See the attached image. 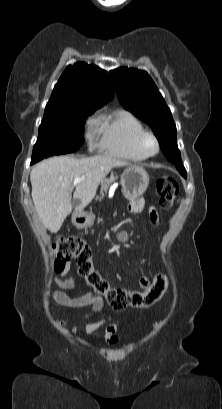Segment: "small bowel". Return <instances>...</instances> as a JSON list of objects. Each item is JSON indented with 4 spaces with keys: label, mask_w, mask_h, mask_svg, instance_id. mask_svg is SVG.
I'll return each mask as SVG.
<instances>
[{
    "label": "small bowel",
    "mask_w": 222,
    "mask_h": 409,
    "mask_svg": "<svg viewBox=\"0 0 222 409\" xmlns=\"http://www.w3.org/2000/svg\"><path fill=\"white\" fill-rule=\"evenodd\" d=\"M145 208V200L143 198L137 199L136 201L132 202L129 205V211L131 213H141ZM148 213L153 224H158V212L154 206H150L148 209ZM70 265L68 264L64 271L61 273V276L65 275L69 271ZM148 282L147 278H143L141 280V286H145ZM78 283L77 278H72L69 280L62 279L61 277L55 278V284L60 289H72ZM53 299L69 308H80L85 305H91V311L85 316V319L90 320L97 314H99L104 306L103 298L95 293H88L84 296L80 297H71L67 295L62 290H55L52 292ZM63 325H68L69 322L61 323ZM106 326L105 329V336L107 338H111L117 331L118 324L117 322H113L111 317L103 318L94 322H90L86 325V333L91 335L97 332L100 328Z\"/></svg>",
    "instance_id": "1"
}]
</instances>
